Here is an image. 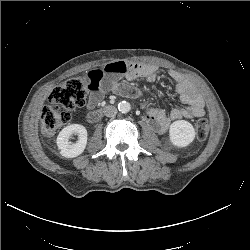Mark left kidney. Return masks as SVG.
Returning a JSON list of instances; mask_svg holds the SVG:
<instances>
[{
  "label": "left kidney",
  "instance_id": "left-kidney-1",
  "mask_svg": "<svg viewBox=\"0 0 250 250\" xmlns=\"http://www.w3.org/2000/svg\"><path fill=\"white\" fill-rule=\"evenodd\" d=\"M195 134V129L190 122L177 120L170 125L169 140L172 145L182 148L194 140Z\"/></svg>",
  "mask_w": 250,
  "mask_h": 250
}]
</instances>
